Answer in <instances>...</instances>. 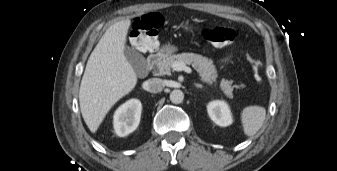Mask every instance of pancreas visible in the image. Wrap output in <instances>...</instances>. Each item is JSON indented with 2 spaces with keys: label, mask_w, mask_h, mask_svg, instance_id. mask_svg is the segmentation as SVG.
<instances>
[{
  "label": "pancreas",
  "mask_w": 337,
  "mask_h": 171,
  "mask_svg": "<svg viewBox=\"0 0 337 171\" xmlns=\"http://www.w3.org/2000/svg\"><path fill=\"white\" fill-rule=\"evenodd\" d=\"M174 62H183L185 65H192L199 73L201 80L213 84L217 80V70L213 61L194 53H181L177 55H170L160 60L156 67L159 75H170L171 66ZM232 80L222 79L220 82V88L228 98H233Z\"/></svg>",
  "instance_id": "1"
}]
</instances>
